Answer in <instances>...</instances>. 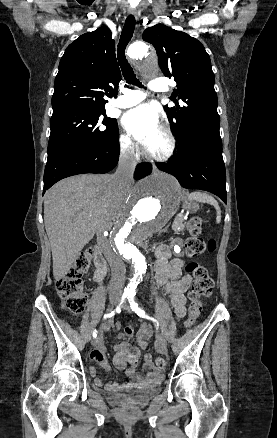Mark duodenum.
I'll return each instance as SVG.
<instances>
[{"instance_id": "obj_1", "label": "duodenum", "mask_w": 277, "mask_h": 438, "mask_svg": "<svg viewBox=\"0 0 277 438\" xmlns=\"http://www.w3.org/2000/svg\"><path fill=\"white\" fill-rule=\"evenodd\" d=\"M95 265L97 267V271L95 273V279L97 281H101L106 273V260L102 252L100 251L99 247H96Z\"/></svg>"}]
</instances>
